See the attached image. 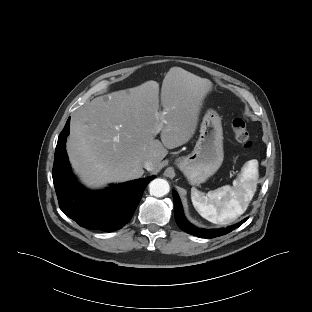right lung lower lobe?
I'll return each mask as SVG.
<instances>
[{"label":"right lung lower lobe","instance_id":"obj_1","mask_svg":"<svg viewBox=\"0 0 312 312\" xmlns=\"http://www.w3.org/2000/svg\"><path fill=\"white\" fill-rule=\"evenodd\" d=\"M70 118L61 132L54 157L53 182L61 210L80 226L111 232L122 228L132 218L150 178L113 185L92 192L78 184L72 175L65 143Z\"/></svg>","mask_w":312,"mask_h":312}]
</instances>
